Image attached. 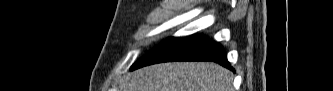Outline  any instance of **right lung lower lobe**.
I'll list each match as a JSON object with an SVG mask.
<instances>
[{"label":"right lung lower lobe","mask_w":333,"mask_h":91,"mask_svg":"<svg viewBox=\"0 0 333 91\" xmlns=\"http://www.w3.org/2000/svg\"><path fill=\"white\" fill-rule=\"evenodd\" d=\"M169 61H213L233 70L222 45L209 40L202 34L185 38L170 37L164 40L141 57L131 70Z\"/></svg>","instance_id":"1"}]
</instances>
